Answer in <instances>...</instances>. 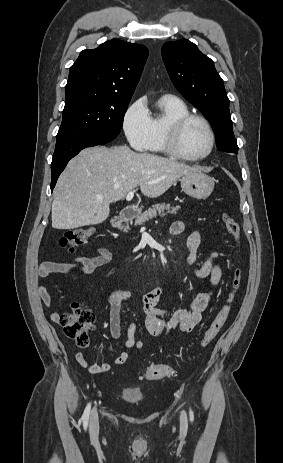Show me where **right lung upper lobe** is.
I'll return each instance as SVG.
<instances>
[{
  "mask_svg": "<svg viewBox=\"0 0 283 463\" xmlns=\"http://www.w3.org/2000/svg\"><path fill=\"white\" fill-rule=\"evenodd\" d=\"M147 57L145 46L117 39L83 50L70 67L66 96L87 91L131 98Z\"/></svg>",
  "mask_w": 283,
  "mask_h": 463,
  "instance_id": "1",
  "label": "right lung upper lobe"
}]
</instances>
